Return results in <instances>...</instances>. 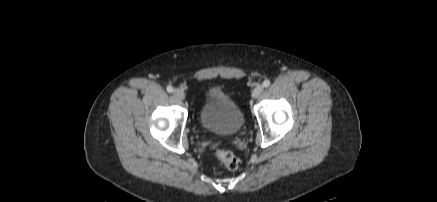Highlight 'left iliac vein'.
Listing matches in <instances>:
<instances>
[{"mask_svg":"<svg viewBox=\"0 0 437 202\" xmlns=\"http://www.w3.org/2000/svg\"><path fill=\"white\" fill-rule=\"evenodd\" d=\"M263 89V86L261 84H258L252 91V97L254 99L258 98L262 94Z\"/></svg>","mask_w":437,"mask_h":202,"instance_id":"left-iliac-vein-1","label":"left iliac vein"}]
</instances>
